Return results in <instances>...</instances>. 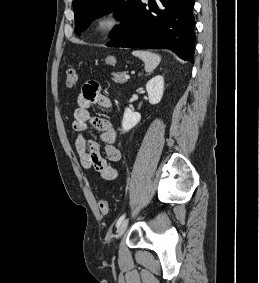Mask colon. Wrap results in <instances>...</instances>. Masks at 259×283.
Masks as SVG:
<instances>
[{
  "label": "colon",
  "mask_w": 259,
  "mask_h": 283,
  "mask_svg": "<svg viewBox=\"0 0 259 283\" xmlns=\"http://www.w3.org/2000/svg\"><path fill=\"white\" fill-rule=\"evenodd\" d=\"M65 80H66V85L69 88H72V87H74L76 85V83H77V72H76V69L74 67H70V68L67 69ZM98 207H99V210L102 213H107V211H108V202H107V200L104 199V198H101L98 201Z\"/></svg>",
  "instance_id": "colon-1"
}]
</instances>
